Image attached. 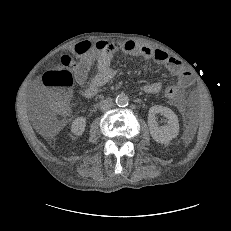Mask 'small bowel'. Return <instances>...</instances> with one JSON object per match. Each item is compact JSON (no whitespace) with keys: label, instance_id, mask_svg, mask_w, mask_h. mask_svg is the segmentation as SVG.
Segmentation results:
<instances>
[{"label":"small bowel","instance_id":"1","mask_svg":"<svg viewBox=\"0 0 231 231\" xmlns=\"http://www.w3.org/2000/svg\"><path fill=\"white\" fill-rule=\"evenodd\" d=\"M119 51L128 56L150 59L164 65L172 75L176 76L177 83L175 86L178 90H185L192 84V75L179 60L163 50L148 45H140L130 40H100L94 45L93 49L87 42L79 43L62 57V63L73 71L76 83L84 87L82 95L90 99L98 93L102 86L115 77L116 71L112 67V59L114 54ZM73 55L79 56L80 61H74ZM94 62L97 63V72L89 79L88 73ZM161 87L160 82H151L144 85L143 91L147 94H154L159 92ZM175 101L179 102L178 99H175Z\"/></svg>","mask_w":231,"mask_h":231}]
</instances>
